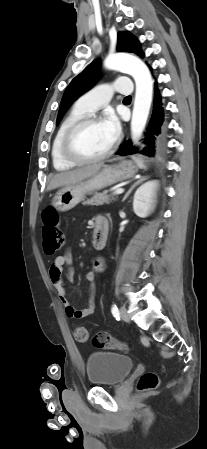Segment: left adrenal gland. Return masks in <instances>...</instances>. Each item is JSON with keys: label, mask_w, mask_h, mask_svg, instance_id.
<instances>
[{"label": "left adrenal gland", "mask_w": 207, "mask_h": 449, "mask_svg": "<svg viewBox=\"0 0 207 449\" xmlns=\"http://www.w3.org/2000/svg\"><path fill=\"white\" fill-rule=\"evenodd\" d=\"M147 179V177H145V176H143V177H141V178H139L131 187H130V189L127 191V193L124 195V197H123V199H122V202H124L126 199H127V197L129 196V194L132 192V190L138 185V184H140V183H142L144 180H146Z\"/></svg>", "instance_id": "obj_1"}]
</instances>
